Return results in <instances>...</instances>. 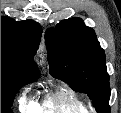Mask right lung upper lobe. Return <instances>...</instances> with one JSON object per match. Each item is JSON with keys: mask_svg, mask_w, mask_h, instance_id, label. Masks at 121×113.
Returning <instances> with one entry per match:
<instances>
[{"mask_svg": "<svg viewBox=\"0 0 121 113\" xmlns=\"http://www.w3.org/2000/svg\"><path fill=\"white\" fill-rule=\"evenodd\" d=\"M41 33L40 24L33 20L16 22L1 16V63L38 78L40 73L33 56L39 46Z\"/></svg>", "mask_w": 121, "mask_h": 113, "instance_id": "obj_1", "label": "right lung upper lobe"}]
</instances>
